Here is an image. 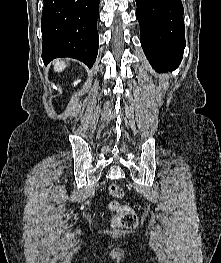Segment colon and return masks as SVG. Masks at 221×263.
<instances>
[{"instance_id": "colon-1", "label": "colon", "mask_w": 221, "mask_h": 263, "mask_svg": "<svg viewBox=\"0 0 221 263\" xmlns=\"http://www.w3.org/2000/svg\"><path fill=\"white\" fill-rule=\"evenodd\" d=\"M108 193L112 198L109 204V208L110 210L116 212V216L114 218V224L117 227L123 229L134 228L137 224L136 213L131 207L121 205L120 203V200L124 196L123 188L118 184H110L108 186Z\"/></svg>"}]
</instances>
